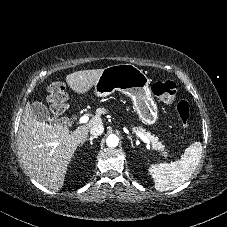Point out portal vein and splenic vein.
Returning <instances> with one entry per match:
<instances>
[{
	"label": "portal vein and splenic vein",
	"instance_id": "1",
	"mask_svg": "<svg viewBox=\"0 0 227 227\" xmlns=\"http://www.w3.org/2000/svg\"><path fill=\"white\" fill-rule=\"evenodd\" d=\"M88 120H89V117H88L87 115H84V116H82V117L79 118V123H80V124H83V123L88 122ZM135 133H136V135H137L139 138H141L145 143H147V144H150V143H151V141H150V139H149L148 136H146V135H144V134H142V133H140V132H137V131H136Z\"/></svg>",
	"mask_w": 227,
	"mask_h": 227
}]
</instances>
